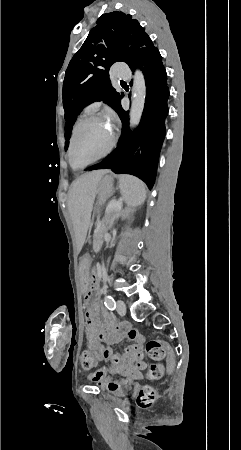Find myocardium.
<instances>
[{
    "instance_id": "f54148a6",
    "label": "myocardium",
    "mask_w": 241,
    "mask_h": 450,
    "mask_svg": "<svg viewBox=\"0 0 241 450\" xmlns=\"http://www.w3.org/2000/svg\"><path fill=\"white\" fill-rule=\"evenodd\" d=\"M73 126L77 127L78 123L74 122ZM78 133H79L78 130L74 129V130H72V132L70 134L71 135L70 144H67V149L70 150L69 157L66 158L67 162H72V157L76 156V153L73 151H74L75 147L77 145H80V143H81L79 138L76 137V135H78ZM110 134H111V137L109 138V140L106 141V144L110 145L109 146L110 148H106L105 152H103V157H108V153H114V149H116V144H113V143L117 141L116 137H118V132L111 130ZM90 161L91 162H99L100 160H90Z\"/></svg>"
}]
</instances>
